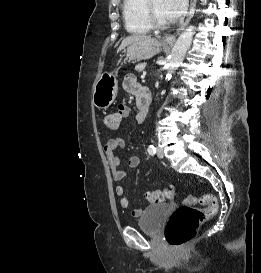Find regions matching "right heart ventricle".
<instances>
[{"label": "right heart ventricle", "mask_w": 261, "mask_h": 273, "mask_svg": "<svg viewBox=\"0 0 261 273\" xmlns=\"http://www.w3.org/2000/svg\"><path fill=\"white\" fill-rule=\"evenodd\" d=\"M145 3L146 0H123L124 25L131 34H146L153 29L146 16Z\"/></svg>", "instance_id": "e07e8e85"}]
</instances>
